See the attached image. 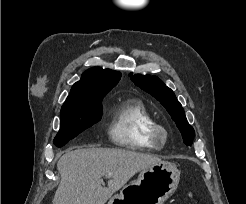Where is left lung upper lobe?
<instances>
[{
	"instance_id": "1",
	"label": "left lung upper lobe",
	"mask_w": 246,
	"mask_h": 204,
	"mask_svg": "<svg viewBox=\"0 0 246 204\" xmlns=\"http://www.w3.org/2000/svg\"><path fill=\"white\" fill-rule=\"evenodd\" d=\"M130 78L135 85L154 96L166 108L179 128L184 143L188 146L191 145L195 132L192 126L187 122L184 110L173 91L156 76L133 75L131 73Z\"/></svg>"
}]
</instances>
